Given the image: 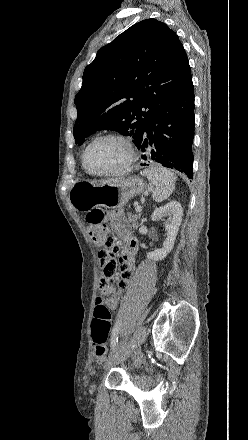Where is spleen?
Returning <instances> with one entry per match:
<instances>
[{"label":"spleen","mask_w":248,"mask_h":440,"mask_svg":"<svg viewBox=\"0 0 248 440\" xmlns=\"http://www.w3.org/2000/svg\"><path fill=\"white\" fill-rule=\"evenodd\" d=\"M142 176L155 186L152 197L156 202H162L167 199L175 188L177 177L170 170L162 166H154L140 172Z\"/></svg>","instance_id":"obj_1"}]
</instances>
